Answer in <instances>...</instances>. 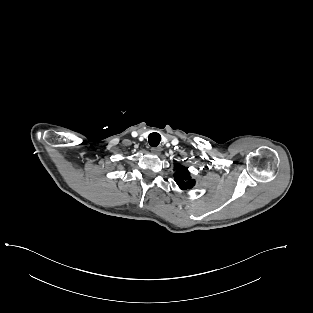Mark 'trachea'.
Returning <instances> with one entry per match:
<instances>
[{"instance_id":"1","label":"trachea","mask_w":313,"mask_h":313,"mask_svg":"<svg viewBox=\"0 0 313 313\" xmlns=\"http://www.w3.org/2000/svg\"><path fill=\"white\" fill-rule=\"evenodd\" d=\"M148 141H149L150 146L156 147L159 145L161 141V136L159 133L153 132L149 135Z\"/></svg>"}]
</instances>
